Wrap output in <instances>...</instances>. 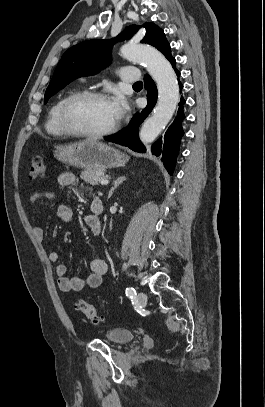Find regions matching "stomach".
<instances>
[{"label": "stomach", "mask_w": 265, "mask_h": 407, "mask_svg": "<svg viewBox=\"0 0 265 407\" xmlns=\"http://www.w3.org/2000/svg\"><path fill=\"white\" fill-rule=\"evenodd\" d=\"M54 156L68 165L104 170L124 166L129 157L117 149L99 141H82L56 146Z\"/></svg>", "instance_id": "stomach-1"}]
</instances>
